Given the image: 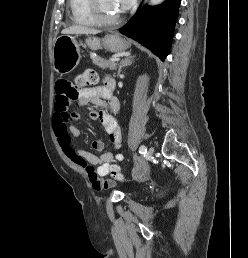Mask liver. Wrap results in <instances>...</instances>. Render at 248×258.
<instances>
[{
  "mask_svg": "<svg viewBox=\"0 0 248 258\" xmlns=\"http://www.w3.org/2000/svg\"><path fill=\"white\" fill-rule=\"evenodd\" d=\"M100 31L96 30V29H90L84 26H80V25H74V26H70L68 28H65L62 30V34L68 35V34H98Z\"/></svg>",
  "mask_w": 248,
  "mask_h": 258,
  "instance_id": "6515ba94",
  "label": "liver"
}]
</instances>
